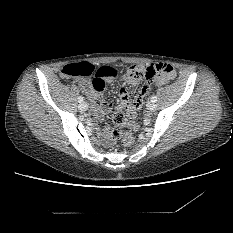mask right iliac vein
<instances>
[{
  "mask_svg": "<svg viewBox=\"0 0 233 233\" xmlns=\"http://www.w3.org/2000/svg\"><path fill=\"white\" fill-rule=\"evenodd\" d=\"M78 108L81 110V111H86L88 109V104L86 102H82Z\"/></svg>",
  "mask_w": 233,
  "mask_h": 233,
  "instance_id": "obj_1",
  "label": "right iliac vein"
}]
</instances>
